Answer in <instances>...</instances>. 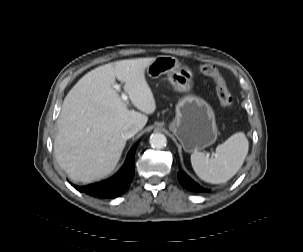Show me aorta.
<instances>
[{
    "label": "aorta",
    "mask_w": 303,
    "mask_h": 252,
    "mask_svg": "<svg viewBox=\"0 0 303 252\" xmlns=\"http://www.w3.org/2000/svg\"><path fill=\"white\" fill-rule=\"evenodd\" d=\"M149 143L155 149H162L167 144V138L162 133H153L149 138Z\"/></svg>",
    "instance_id": "1"
}]
</instances>
